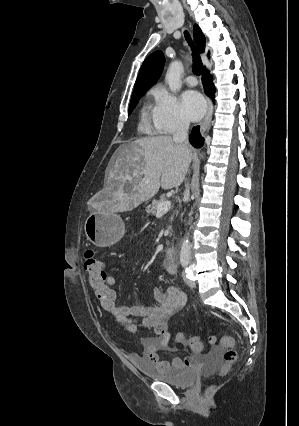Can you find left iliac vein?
Returning a JSON list of instances; mask_svg holds the SVG:
<instances>
[{
    "mask_svg": "<svg viewBox=\"0 0 299 426\" xmlns=\"http://www.w3.org/2000/svg\"><path fill=\"white\" fill-rule=\"evenodd\" d=\"M184 280L190 287H193V288L196 287L195 280L190 276L188 272L184 274Z\"/></svg>",
    "mask_w": 299,
    "mask_h": 426,
    "instance_id": "1",
    "label": "left iliac vein"
}]
</instances>
